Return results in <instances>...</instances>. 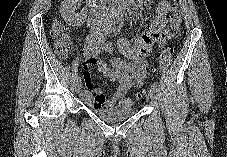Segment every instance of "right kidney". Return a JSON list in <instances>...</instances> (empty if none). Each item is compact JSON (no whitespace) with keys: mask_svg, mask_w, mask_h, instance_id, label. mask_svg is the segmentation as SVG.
Wrapping results in <instances>:
<instances>
[{"mask_svg":"<svg viewBox=\"0 0 227 157\" xmlns=\"http://www.w3.org/2000/svg\"><path fill=\"white\" fill-rule=\"evenodd\" d=\"M74 2L70 0L64 1L60 9L63 19L70 25H78L81 20V16L75 13Z\"/></svg>","mask_w":227,"mask_h":157,"instance_id":"obj_1","label":"right kidney"}]
</instances>
